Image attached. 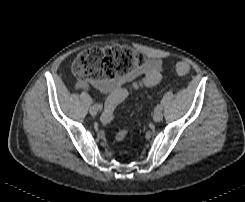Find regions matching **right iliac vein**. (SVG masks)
<instances>
[{"label":"right iliac vein","mask_w":245,"mask_h":202,"mask_svg":"<svg viewBox=\"0 0 245 202\" xmlns=\"http://www.w3.org/2000/svg\"><path fill=\"white\" fill-rule=\"evenodd\" d=\"M98 111H99V108L96 105H93L90 108V114L93 115V116L96 115Z\"/></svg>","instance_id":"63e3f726"}]
</instances>
